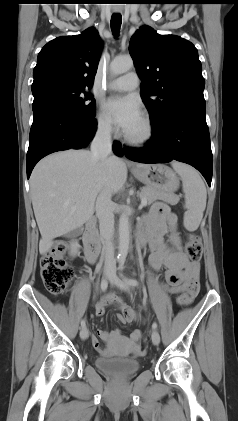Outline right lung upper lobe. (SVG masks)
Instances as JSON below:
<instances>
[{
  "instance_id": "obj_1",
  "label": "right lung upper lobe",
  "mask_w": 238,
  "mask_h": 421,
  "mask_svg": "<svg viewBox=\"0 0 238 421\" xmlns=\"http://www.w3.org/2000/svg\"><path fill=\"white\" fill-rule=\"evenodd\" d=\"M101 51V39L92 27L80 35L62 36L50 41L38 54L32 86L60 82L91 88Z\"/></svg>"
}]
</instances>
